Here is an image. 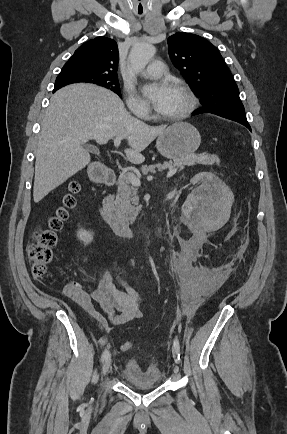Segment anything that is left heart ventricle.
I'll return each mask as SVG.
<instances>
[{
	"label": "left heart ventricle",
	"instance_id": "1",
	"mask_svg": "<svg viewBox=\"0 0 287 434\" xmlns=\"http://www.w3.org/2000/svg\"><path fill=\"white\" fill-rule=\"evenodd\" d=\"M187 104L185 95L175 86L166 107L160 112L163 115H176L184 110Z\"/></svg>",
	"mask_w": 287,
	"mask_h": 434
}]
</instances>
